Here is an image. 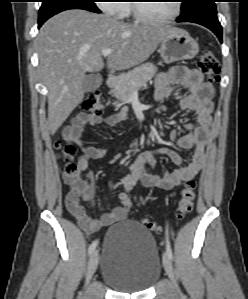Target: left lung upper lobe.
I'll return each instance as SVG.
<instances>
[{
    "mask_svg": "<svg viewBox=\"0 0 248 299\" xmlns=\"http://www.w3.org/2000/svg\"><path fill=\"white\" fill-rule=\"evenodd\" d=\"M215 0H182L180 19L187 21L201 16H216Z\"/></svg>",
    "mask_w": 248,
    "mask_h": 299,
    "instance_id": "1",
    "label": "left lung upper lobe"
}]
</instances>
